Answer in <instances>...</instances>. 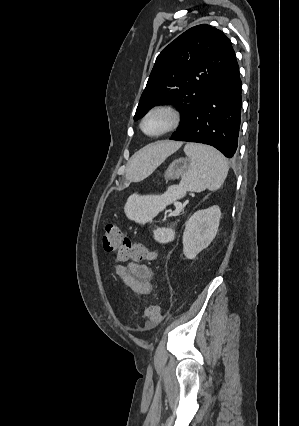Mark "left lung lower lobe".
<instances>
[{"label": "left lung lower lobe", "mask_w": 299, "mask_h": 426, "mask_svg": "<svg viewBox=\"0 0 299 426\" xmlns=\"http://www.w3.org/2000/svg\"><path fill=\"white\" fill-rule=\"evenodd\" d=\"M241 80L235 55L171 140L208 144L226 157L236 154L241 119Z\"/></svg>", "instance_id": "obj_1"}]
</instances>
